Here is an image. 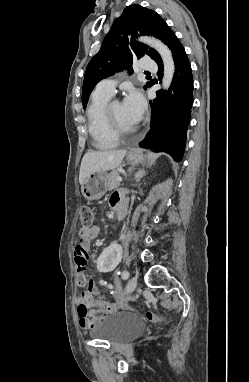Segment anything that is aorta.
Wrapping results in <instances>:
<instances>
[{"mask_svg":"<svg viewBox=\"0 0 249 382\" xmlns=\"http://www.w3.org/2000/svg\"><path fill=\"white\" fill-rule=\"evenodd\" d=\"M141 42L153 47L161 56L164 64V76L162 80L163 89L167 90L173 80L175 65L170 49L160 40L153 37H140ZM144 171L140 170L135 178L137 181L143 176Z\"/></svg>","mask_w":249,"mask_h":382,"instance_id":"762f6f07","label":"aorta"}]
</instances>
